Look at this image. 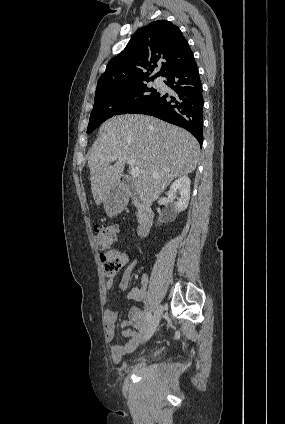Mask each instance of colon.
Listing matches in <instances>:
<instances>
[{
  "label": "colon",
  "instance_id": "5ec220e1",
  "mask_svg": "<svg viewBox=\"0 0 285 424\" xmlns=\"http://www.w3.org/2000/svg\"><path fill=\"white\" fill-rule=\"evenodd\" d=\"M117 233L118 227L115 225L94 227V244L101 251L100 260L103 270L108 276L117 274L122 267L120 257L112 249Z\"/></svg>",
  "mask_w": 285,
  "mask_h": 424
}]
</instances>
